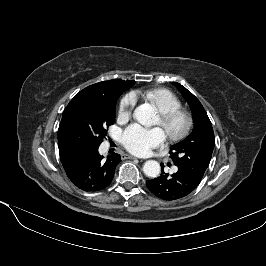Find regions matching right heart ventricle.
Listing matches in <instances>:
<instances>
[{"label":"right heart ventricle","mask_w":266,"mask_h":266,"mask_svg":"<svg viewBox=\"0 0 266 266\" xmlns=\"http://www.w3.org/2000/svg\"><path fill=\"white\" fill-rule=\"evenodd\" d=\"M145 97L157 108L160 113L180 109V99L167 89H154L144 92Z\"/></svg>","instance_id":"e07e8e85"}]
</instances>
